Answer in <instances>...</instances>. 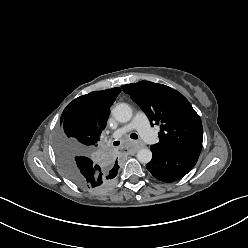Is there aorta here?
I'll list each match as a JSON object with an SVG mask.
<instances>
[{
	"label": "aorta",
	"instance_id": "aorta-1",
	"mask_svg": "<svg viewBox=\"0 0 248 248\" xmlns=\"http://www.w3.org/2000/svg\"><path fill=\"white\" fill-rule=\"evenodd\" d=\"M113 117L121 123H126L132 118V109L126 103L117 104L112 109ZM137 159L141 163H148L152 159V152L148 148H142L137 152Z\"/></svg>",
	"mask_w": 248,
	"mask_h": 248
}]
</instances>
